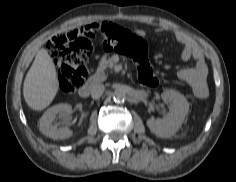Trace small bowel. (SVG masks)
<instances>
[{"label":"small bowel","mask_w":236,"mask_h":182,"mask_svg":"<svg viewBox=\"0 0 236 182\" xmlns=\"http://www.w3.org/2000/svg\"><path fill=\"white\" fill-rule=\"evenodd\" d=\"M164 30L166 29H159V31ZM175 39L182 45V59L195 61L193 67L183 68L178 71V79L189 85L196 98L203 99L209 92L207 84L208 66L205 61L204 52L199 44L192 41L182 33H176Z\"/></svg>","instance_id":"c3829d8e"}]
</instances>
